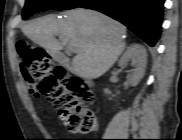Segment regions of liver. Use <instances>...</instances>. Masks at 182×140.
I'll return each instance as SVG.
<instances>
[{
    "label": "liver",
    "mask_w": 182,
    "mask_h": 140,
    "mask_svg": "<svg viewBox=\"0 0 182 140\" xmlns=\"http://www.w3.org/2000/svg\"><path fill=\"white\" fill-rule=\"evenodd\" d=\"M66 15L63 21L53 15L34 19L22 27V32L52 55L59 53L62 44L69 43L76 48L74 72L87 79L100 77L123 52L126 27L91 9L76 8Z\"/></svg>",
    "instance_id": "6515ba94"
}]
</instances>
